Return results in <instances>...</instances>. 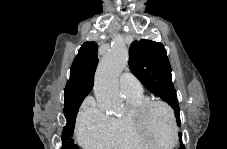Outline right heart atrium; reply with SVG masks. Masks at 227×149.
<instances>
[{"instance_id": "d8ad5b80", "label": "right heart atrium", "mask_w": 227, "mask_h": 149, "mask_svg": "<svg viewBox=\"0 0 227 149\" xmlns=\"http://www.w3.org/2000/svg\"><path fill=\"white\" fill-rule=\"evenodd\" d=\"M112 118L105 114L93 98H87L78 113L76 134L87 149H101L108 145Z\"/></svg>"}]
</instances>
